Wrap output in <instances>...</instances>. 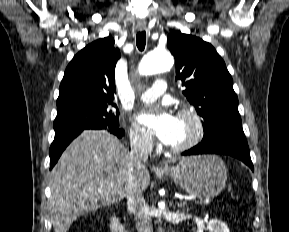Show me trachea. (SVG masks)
I'll return each instance as SVG.
<instances>
[{"instance_id": "trachea-1", "label": "trachea", "mask_w": 289, "mask_h": 232, "mask_svg": "<svg viewBox=\"0 0 289 232\" xmlns=\"http://www.w3.org/2000/svg\"><path fill=\"white\" fill-rule=\"evenodd\" d=\"M136 44L140 51H143L146 45V32L141 31L137 33Z\"/></svg>"}]
</instances>
